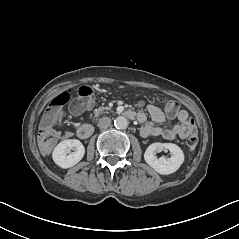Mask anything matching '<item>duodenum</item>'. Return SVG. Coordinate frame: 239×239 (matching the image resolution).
Returning a JSON list of instances; mask_svg holds the SVG:
<instances>
[{"instance_id": "obj_1", "label": "duodenum", "mask_w": 239, "mask_h": 239, "mask_svg": "<svg viewBox=\"0 0 239 239\" xmlns=\"http://www.w3.org/2000/svg\"><path fill=\"white\" fill-rule=\"evenodd\" d=\"M125 115L130 118V119H134L136 114L133 111H126ZM93 126L91 124L85 123L82 124L78 127L77 129V134L80 138L82 139H86L89 138L92 133H93Z\"/></svg>"}]
</instances>
